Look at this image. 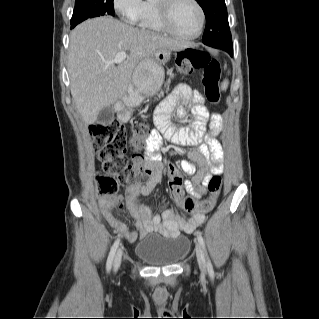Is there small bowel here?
<instances>
[{
    "label": "small bowel",
    "instance_id": "1",
    "mask_svg": "<svg viewBox=\"0 0 319 319\" xmlns=\"http://www.w3.org/2000/svg\"><path fill=\"white\" fill-rule=\"evenodd\" d=\"M180 105L177 106V104ZM186 106L192 114L189 127L176 129L170 123V114L176 110L179 118L187 116ZM207 121L209 126L207 127ZM155 122L157 130H153L149 136L147 145L148 167L150 174L143 183H135L125 189L123 195L110 196L101 201L103 215L107 222L117 231L122 233L128 241H135L137 233L131 229L122 219L107 210V205L114 199L124 201L132 215L136 226L143 237L152 231H158L166 236L177 235L180 231L192 232L205 221V214L196 211L185 214L177 206H165L160 213H154L150 207L139 201V196H147L152 193L159 182L163 164L157 151L162 147L163 137L177 145H198L195 152H190L189 157L196 162L201 169L196 172L192 162L183 160L180 163L181 170L187 175L193 176L192 183L187 182L186 190L196 198L202 197L207 191V184L211 177L223 173V150L215 136L221 131L223 118L219 113H210L204 104V96L198 89L193 90L188 84L181 83L159 104ZM151 144H158L154 149ZM168 172H177V167L170 163Z\"/></svg>",
    "mask_w": 319,
    "mask_h": 319
}]
</instances>
